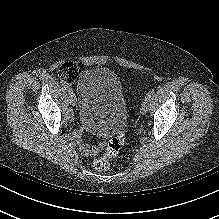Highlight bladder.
<instances>
[{
    "label": "bladder",
    "instance_id": "31cf9c89",
    "mask_svg": "<svg viewBox=\"0 0 219 219\" xmlns=\"http://www.w3.org/2000/svg\"><path fill=\"white\" fill-rule=\"evenodd\" d=\"M76 90L84 125L113 132L127 119L122 86L114 71L104 67L87 69L80 75Z\"/></svg>",
    "mask_w": 219,
    "mask_h": 219
}]
</instances>
